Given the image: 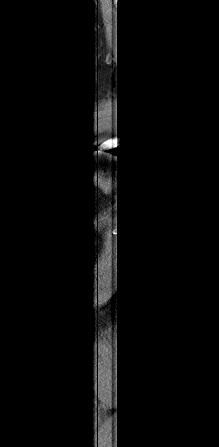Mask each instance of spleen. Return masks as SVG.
<instances>
[{
  "label": "spleen",
  "instance_id": "spleen-1",
  "mask_svg": "<svg viewBox=\"0 0 219 447\" xmlns=\"http://www.w3.org/2000/svg\"><path fill=\"white\" fill-rule=\"evenodd\" d=\"M98 185L99 187L104 191V193H110L112 190L111 187V180L107 179V180H103V179H99L98 180Z\"/></svg>",
  "mask_w": 219,
  "mask_h": 447
}]
</instances>
